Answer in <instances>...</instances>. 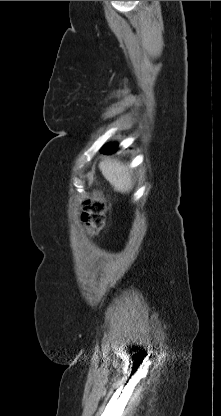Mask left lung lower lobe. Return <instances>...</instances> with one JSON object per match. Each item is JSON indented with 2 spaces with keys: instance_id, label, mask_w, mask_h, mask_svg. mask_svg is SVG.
I'll list each match as a JSON object with an SVG mask.
<instances>
[{
  "instance_id": "1",
  "label": "left lung lower lobe",
  "mask_w": 221,
  "mask_h": 416,
  "mask_svg": "<svg viewBox=\"0 0 221 416\" xmlns=\"http://www.w3.org/2000/svg\"><path fill=\"white\" fill-rule=\"evenodd\" d=\"M116 149H117V145L116 144H111V145H108L107 147H105L103 150H101V153L111 154L114 151H116Z\"/></svg>"
}]
</instances>
